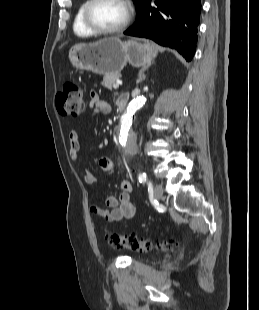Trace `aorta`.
I'll return each mask as SVG.
<instances>
[{
    "instance_id": "1",
    "label": "aorta",
    "mask_w": 259,
    "mask_h": 310,
    "mask_svg": "<svg viewBox=\"0 0 259 310\" xmlns=\"http://www.w3.org/2000/svg\"><path fill=\"white\" fill-rule=\"evenodd\" d=\"M145 102L146 98L144 96L133 99L121 117L119 143L121 148L131 155L137 152V137L131 127L133 116Z\"/></svg>"
}]
</instances>
